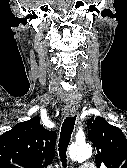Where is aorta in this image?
<instances>
[{"label": "aorta", "mask_w": 127, "mask_h": 168, "mask_svg": "<svg viewBox=\"0 0 127 168\" xmlns=\"http://www.w3.org/2000/svg\"><path fill=\"white\" fill-rule=\"evenodd\" d=\"M70 158L74 161L87 160L92 155V148L88 143H75L70 147Z\"/></svg>", "instance_id": "1"}]
</instances>
